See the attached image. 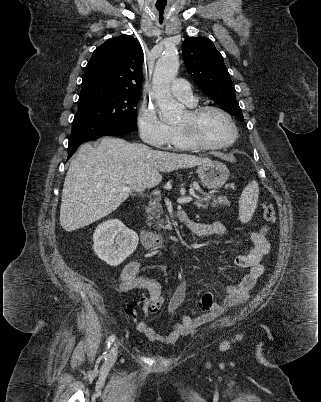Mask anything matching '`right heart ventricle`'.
Wrapping results in <instances>:
<instances>
[{
	"label": "right heart ventricle",
	"mask_w": 321,
	"mask_h": 402,
	"mask_svg": "<svg viewBox=\"0 0 321 402\" xmlns=\"http://www.w3.org/2000/svg\"><path fill=\"white\" fill-rule=\"evenodd\" d=\"M196 103L189 105L190 107L195 106ZM172 128V137L170 144L174 149L177 150H192L195 149L192 145H190L183 137L181 134L180 130L178 129L177 126H171Z\"/></svg>",
	"instance_id": "right-heart-ventricle-1"
}]
</instances>
